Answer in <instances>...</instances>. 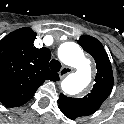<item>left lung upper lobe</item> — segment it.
Wrapping results in <instances>:
<instances>
[{
  "label": "left lung upper lobe",
  "instance_id": "5c2ea615",
  "mask_svg": "<svg viewBox=\"0 0 124 124\" xmlns=\"http://www.w3.org/2000/svg\"><path fill=\"white\" fill-rule=\"evenodd\" d=\"M77 42L94 58L97 74L91 92L83 98H70L60 94L59 109L69 119L93 114L100 108L113 88L112 67L103 45L96 38L86 35L81 36Z\"/></svg>",
  "mask_w": 124,
  "mask_h": 124
}]
</instances>
